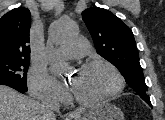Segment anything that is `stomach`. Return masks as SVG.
<instances>
[{
    "mask_svg": "<svg viewBox=\"0 0 165 120\" xmlns=\"http://www.w3.org/2000/svg\"><path fill=\"white\" fill-rule=\"evenodd\" d=\"M75 120H124V115L117 106L100 103L84 109Z\"/></svg>",
    "mask_w": 165,
    "mask_h": 120,
    "instance_id": "0dacf381",
    "label": "stomach"
}]
</instances>
